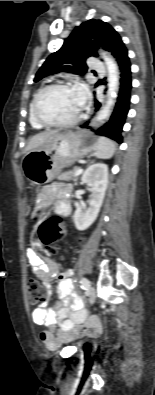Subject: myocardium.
Returning <instances> with one entry per match:
<instances>
[{
    "label": "myocardium",
    "mask_w": 155,
    "mask_h": 395,
    "mask_svg": "<svg viewBox=\"0 0 155 395\" xmlns=\"http://www.w3.org/2000/svg\"><path fill=\"white\" fill-rule=\"evenodd\" d=\"M57 88H74V85L71 82H65V81H59L55 83L48 84L41 89L37 91L35 94L33 101H32V115L35 119V121L43 126V127H49V128H68L76 125L80 119H81V114L80 112L71 120L66 121V122H50L42 118V116L39 113V101L41 97L48 92L49 90L52 89H57Z\"/></svg>",
    "instance_id": "f54148a6"
}]
</instances>
